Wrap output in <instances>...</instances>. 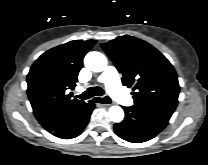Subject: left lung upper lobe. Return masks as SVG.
<instances>
[{
  "label": "left lung upper lobe",
  "instance_id": "left-lung-upper-lobe-1",
  "mask_svg": "<svg viewBox=\"0 0 208 165\" xmlns=\"http://www.w3.org/2000/svg\"><path fill=\"white\" fill-rule=\"evenodd\" d=\"M102 48L122 75V83L133 87L134 106L174 112L180 86L171 63L149 43L120 36Z\"/></svg>",
  "mask_w": 208,
  "mask_h": 165
}]
</instances>
